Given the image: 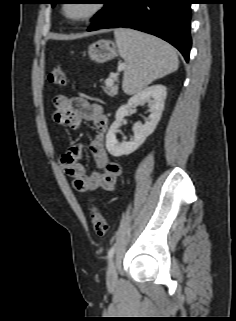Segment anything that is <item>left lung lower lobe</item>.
<instances>
[{
	"mask_svg": "<svg viewBox=\"0 0 236 321\" xmlns=\"http://www.w3.org/2000/svg\"><path fill=\"white\" fill-rule=\"evenodd\" d=\"M193 3L195 0H113L88 31L124 27L146 32L172 44L188 62Z\"/></svg>",
	"mask_w": 236,
	"mask_h": 321,
	"instance_id": "left-lung-lower-lobe-1",
	"label": "left lung lower lobe"
}]
</instances>
